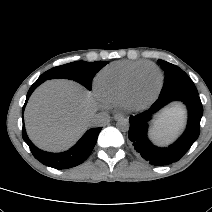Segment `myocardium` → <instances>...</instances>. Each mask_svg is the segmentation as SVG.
Masks as SVG:
<instances>
[{
	"instance_id": "obj_1",
	"label": "myocardium",
	"mask_w": 212,
	"mask_h": 212,
	"mask_svg": "<svg viewBox=\"0 0 212 212\" xmlns=\"http://www.w3.org/2000/svg\"><path fill=\"white\" fill-rule=\"evenodd\" d=\"M146 69H153L158 73L159 83H158L157 88L153 92V94L148 99H146L145 101H143L141 103H136L133 100V96H134V93H135V90H136V87H137V83H138V79L140 77V74ZM162 83H163L162 71L155 64L151 63V64H147V65H144V66L138 68L132 74V76L129 80V83L127 85V88H126L125 93H124L123 98H122L121 105L124 107V109H126L127 111H131V112H138V111L144 110L157 98V96L160 92Z\"/></svg>"
}]
</instances>
